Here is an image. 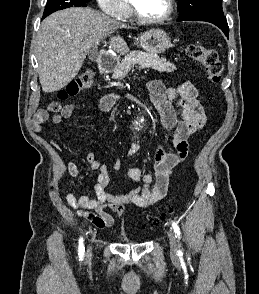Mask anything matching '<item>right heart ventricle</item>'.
Wrapping results in <instances>:
<instances>
[{"mask_svg": "<svg viewBox=\"0 0 259 294\" xmlns=\"http://www.w3.org/2000/svg\"><path fill=\"white\" fill-rule=\"evenodd\" d=\"M130 15H131V13H130V10H129V12H128V14H127L126 18H127V17H129Z\"/></svg>", "mask_w": 259, "mask_h": 294, "instance_id": "right-heart-ventricle-1", "label": "right heart ventricle"}]
</instances>
